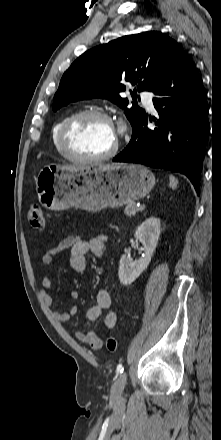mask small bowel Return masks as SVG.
<instances>
[{"instance_id": "c3829d8e", "label": "small bowel", "mask_w": 221, "mask_h": 440, "mask_svg": "<svg viewBox=\"0 0 221 440\" xmlns=\"http://www.w3.org/2000/svg\"><path fill=\"white\" fill-rule=\"evenodd\" d=\"M71 249L70 253V266L76 272H84L87 268V254L89 252L96 256H104L106 249V238L103 236H97L90 239H84L80 236L68 235L64 237L59 244L47 250L42 256V264L44 266H50L54 260V257L64 251L65 249ZM40 293L47 304L52 307L54 300L51 296L52 280L46 273L41 280ZM71 298L77 300L79 293L77 291L71 292ZM111 294L108 289H101L96 297V303L87 310L85 319L88 322H94L102 317L104 326L108 329H112L117 323V314L110 310L111 307ZM77 313V308L72 307L67 312H56L54 317L60 322H68L72 316ZM76 338L93 349H100L102 347V339L95 330L88 332H77Z\"/></svg>"}]
</instances>
